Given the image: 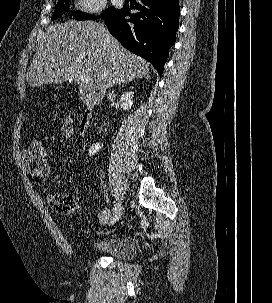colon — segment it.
<instances>
[{"instance_id": "5ec220e1", "label": "colon", "mask_w": 272, "mask_h": 303, "mask_svg": "<svg viewBox=\"0 0 272 303\" xmlns=\"http://www.w3.org/2000/svg\"><path fill=\"white\" fill-rule=\"evenodd\" d=\"M63 132L68 138L72 133V126L69 121H66L63 126ZM32 151V161L34 168L40 173L50 171L47 161V147L40 139H34L29 144ZM48 201L51 209L59 215H69L74 213L78 208L76 199L70 195L55 192L48 196Z\"/></svg>"}]
</instances>
